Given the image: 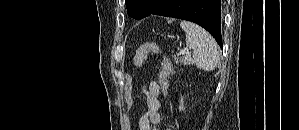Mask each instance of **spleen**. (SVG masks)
<instances>
[{
    "mask_svg": "<svg viewBox=\"0 0 299 130\" xmlns=\"http://www.w3.org/2000/svg\"><path fill=\"white\" fill-rule=\"evenodd\" d=\"M182 30L186 33V46L193 50V61L204 71H213L219 62L218 45L212 36L200 26L182 21Z\"/></svg>",
    "mask_w": 299,
    "mask_h": 130,
    "instance_id": "1",
    "label": "spleen"
}]
</instances>
